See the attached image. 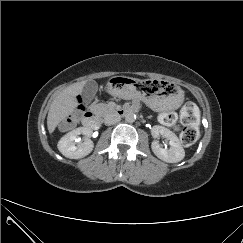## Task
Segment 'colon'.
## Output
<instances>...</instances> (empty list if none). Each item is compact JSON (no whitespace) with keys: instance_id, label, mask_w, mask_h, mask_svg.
<instances>
[{"instance_id":"obj_1","label":"colon","mask_w":243,"mask_h":243,"mask_svg":"<svg viewBox=\"0 0 243 243\" xmlns=\"http://www.w3.org/2000/svg\"><path fill=\"white\" fill-rule=\"evenodd\" d=\"M76 119V114L69 115L62 122V128H71L75 124ZM160 120L163 124L172 126L176 123L177 117L173 112H165L161 114ZM180 121L182 123L180 140L183 145L190 146L196 141L198 135L199 110L194 103L188 102L184 104L180 111Z\"/></svg>"}]
</instances>
